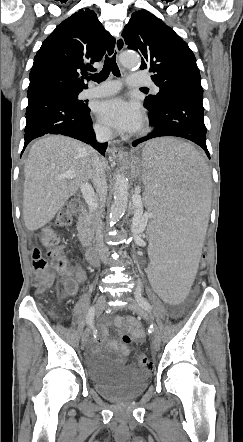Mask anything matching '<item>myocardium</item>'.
<instances>
[{"label":"myocardium","instance_id":"1","mask_svg":"<svg viewBox=\"0 0 243 442\" xmlns=\"http://www.w3.org/2000/svg\"><path fill=\"white\" fill-rule=\"evenodd\" d=\"M146 131V125H143L141 128H140V132L142 133V132H145Z\"/></svg>","mask_w":243,"mask_h":442}]
</instances>
